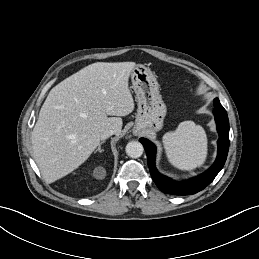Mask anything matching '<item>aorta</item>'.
<instances>
[{
  "mask_svg": "<svg viewBox=\"0 0 259 259\" xmlns=\"http://www.w3.org/2000/svg\"><path fill=\"white\" fill-rule=\"evenodd\" d=\"M126 154L131 158H139L144 151L143 145L138 141H131L126 145Z\"/></svg>",
  "mask_w": 259,
  "mask_h": 259,
  "instance_id": "1",
  "label": "aorta"
}]
</instances>
